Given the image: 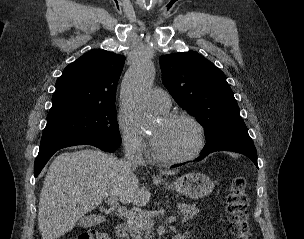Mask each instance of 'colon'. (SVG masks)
I'll return each mask as SVG.
<instances>
[{
    "instance_id": "1",
    "label": "colon",
    "mask_w": 304,
    "mask_h": 239,
    "mask_svg": "<svg viewBox=\"0 0 304 239\" xmlns=\"http://www.w3.org/2000/svg\"><path fill=\"white\" fill-rule=\"evenodd\" d=\"M226 209L229 226L236 239H252L248 223V196L246 180L243 176L235 177L228 190ZM77 239H110L109 236L98 230H91L78 236Z\"/></svg>"
}]
</instances>
